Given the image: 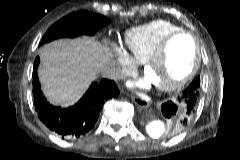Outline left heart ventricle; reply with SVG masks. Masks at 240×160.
<instances>
[{
  "label": "left heart ventricle",
  "instance_id": "obj_1",
  "mask_svg": "<svg viewBox=\"0 0 240 160\" xmlns=\"http://www.w3.org/2000/svg\"><path fill=\"white\" fill-rule=\"evenodd\" d=\"M194 45L187 36L173 39L163 57L147 72V78L155 85L165 84L184 76L194 61Z\"/></svg>",
  "mask_w": 240,
  "mask_h": 160
}]
</instances>
